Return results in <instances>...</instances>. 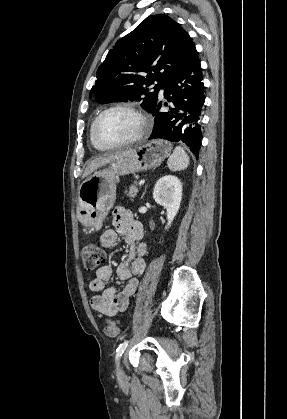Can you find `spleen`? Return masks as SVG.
I'll return each instance as SVG.
<instances>
[{
	"label": "spleen",
	"mask_w": 287,
	"mask_h": 419,
	"mask_svg": "<svg viewBox=\"0 0 287 419\" xmlns=\"http://www.w3.org/2000/svg\"><path fill=\"white\" fill-rule=\"evenodd\" d=\"M189 156L181 146H176L172 155L167 161V166L171 171H181L188 167Z\"/></svg>",
	"instance_id": "obj_1"
}]
</instances>
